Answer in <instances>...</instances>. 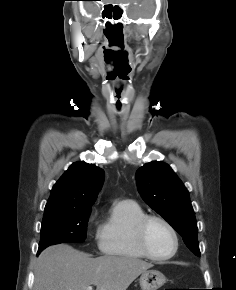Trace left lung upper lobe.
<instances>
[{
	"instance_id": "5c2ea615",
	"label": "left lung upper lobe",
	"mask_w": 236,
	"mask_h": 290,
	"mask_svg": "<svg viewBox=\"0 0 236 290\" xmlns=\"http://www.w3.org/2000/svg\"><path fill=\"white\" fill-rule=\"evenodd\" d=\"M136 178L143 200L182 236L190 251L200 257L198 228L189 193L171 167L152 161L137 170Z\"/></svg>"
}]
</instances>
